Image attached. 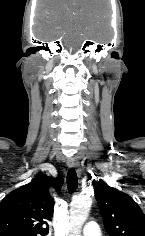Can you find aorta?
<instances>
[{
	"instance_id": "obj_1",
	"label": "aorta",
	"mask_w": 145,
	"mask_h": 236,
	"mask_svg": "<svg viewBox=\"0 0 145 236\" xmlns=\"http://www.w3.org/2000/svg\"><path fill=\"white\" fill-rule=\"evenodd\" d=\"M91 205L92 199L88 196H80L72 202L69 236H81L82 226L88 217Z\"/></svg>"
}]
</instances>
